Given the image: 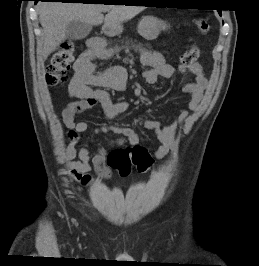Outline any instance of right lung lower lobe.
Listing matches in <instances>:
<instances>
[{"mask_svg": "<svg viewBox=\"0 0 259 266\" xmlns=\"http://www.w3.org/2000/svg\"><path fill=\"white\" fill-rule=\"evenodd\" d=\"M35 1V3H37L38 1H61L62 3H64L65 1H70V0H33ZM86 3V2H83Z\"/></svg>", "mask_w": 259, "mask_h": 266, "instance_id": "obj_1", "label": "right lung lower lobe"}]
</instances>
